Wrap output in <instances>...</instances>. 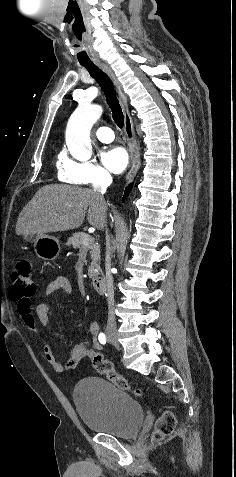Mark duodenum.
Masks as SVG:
<instances>
[{
  "label": "duodenum",
  "instance_id": "410a0bca",
  "mask_svg": "<svg viewBox=\"0 0 236 477\" xmlns=\"http://www.w3.org/2000/svg\"><path fill=\"white\" fill-rule=\"evenodd\" d=\"M92 286L98 294H104L107 291V281L104 277H95L92 280Z\"/></svg>",
  "mask_w": 236,
  "mask_h": 477
}]
</instances>
